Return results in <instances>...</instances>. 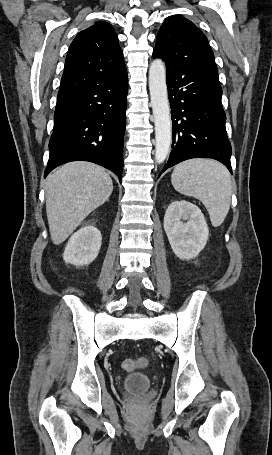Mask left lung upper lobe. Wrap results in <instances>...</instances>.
<instances>
[{"instance_id":"obj_1","label":"left lung upper lobe","mask_w":272,"mask_h":455,"mask_svg":"<svg viewBox=\"0 0 272 455\" xmlns=\"http://www.w3.org/2000/svg\"><path fill=\"white\" fill-rule=\"evenodd\" d=\"M153 55L165 61L167 71L192 68L218 73L206 36L181 16H171L162 24Z\"/></svg>"}]
</instances>
